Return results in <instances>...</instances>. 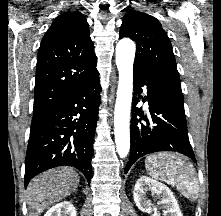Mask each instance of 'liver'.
I'll return each instance as SVG.
<instances>
[{
    "label": "liver",
    "instance_id": "liver-1",
    "mask_svg": "<svg viewBox=\"0 0 221 216\" xmlns=\"http://www.w3.org/2000/svg\"><path fill=\"white\" fill-rule=\"evenodd\" d=\"M80 182L79 175L69 167L45 171L34 177L27 187L29 216H39L51 205L73 193Z\"/></svg>",
    "mask_w": 221,
    "mask_h": 216
}]
</instances>
